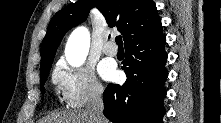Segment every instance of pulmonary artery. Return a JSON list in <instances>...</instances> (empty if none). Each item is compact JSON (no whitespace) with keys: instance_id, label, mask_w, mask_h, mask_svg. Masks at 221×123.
Segmentation results:
<instances>
[{"instance_id":"1","label":"pulmonary artery","mask_w":221,"mask_h":123,"mask_svg":"<svg viewBox=\"0 0 221 123\" xmlns=\"http://www.w3.org/2000/svg\"><path fill=\"white\" fill-rule=\"evenodd\" d=\"M103 52L106 55L115 56L118 52V49L112 41H109L103 46Z\"/></svg>"}]
</instances>
